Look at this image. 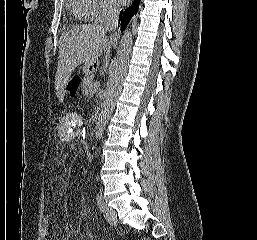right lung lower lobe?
Segmentation results:
<instances>
[{"label":"right lung lower lobe","mask_w":257,"mask_h":240,"mask_svg":"<svg viewBox=\"0 0 257 240\" xmlns=\"http://www.w3.org/2000/svg\"><path fill=\"white\" fill-rule=\"evenodd\" d=\"M139 1L140 0H134L130 8H127L124 12L123 10L120 12L119 20L121 21V31L124 30L132 16L137 12Z\"/></svg>","instance_id":"1"}]
</instances>
